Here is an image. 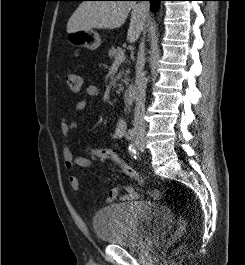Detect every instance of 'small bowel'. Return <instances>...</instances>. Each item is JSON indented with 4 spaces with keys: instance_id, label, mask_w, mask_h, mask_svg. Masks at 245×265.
Masks as SVG:
<instances>
[{
    "instance_id": "1",
    "label": "small bowel",
    "mask_w": 245,
    "mask_h": 265,
    "mask_svg": "<svg viewBox=\"0 0 245 265\" xmlns=\"http://www.w3.org/2000/svg\"><path fill=\"white\" fill-rule=\"evenodd\" d=\"M82 91L89 97H98L100 95V88L97 85L90 84L82 88ZM87 101L85 99H80L74 106V111L79 112L85 109ZM61 135L65 142L69 140L71 132L75 129L76 124L73 121L68 120L67 117L61 120ZM125 127L123 124H117L111 133L112 138L119 139L124 135ZM63 159L65 168L68 171H73L76 167L83 169H89L93 166V161L84 156H76L68 145L63 148ZM68 184L70 188L74 191H79L81 188L80 180L75 175H70L68 177ZM124 191L125 194H121ZM150 197L153 199H158L160 197V192L158 190H153L149 193ZM139 198V193L131 185L117 186L111 188L108 191L106 202L112 203L116 200L122 201H135Z\"/></svg>"
}]
</instances>
